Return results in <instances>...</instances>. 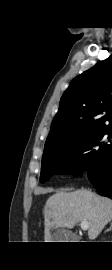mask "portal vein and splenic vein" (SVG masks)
<instances>
[{
  "instance_id": "1",
  "label": "portal vein and splenic vein",
  "mask_w": 112,
  "mask_h": 270,
  "mask_svg": "<svg viewBox=\"0 0 112 270\" xmlns=\"http://www.w3.org/2000/svg\"><path fill=\"white\" fill-rule=\"evenodd\" d=\"M80 226L82 230H87L89 228V223L87 221H82Z\"/></svg>"
}]
</instances>
